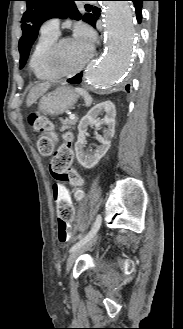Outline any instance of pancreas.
I'll use <instances>...</instances> for the list:
<instances>
[{
  "label": "pancreas",
  "instance_id": "obj_1",
  "mask_svg": "<svg viewBox=\"0 0 183 329\" xmlns=\"http://www.w3.org/2000/svg\"><path fill=\"white\" fill-rule=\"evenodd\" d=\"M77 120H69V119H64L61 120L62 126L60 128V131H65L66 129L71 128V126L75 125Z\"/></svg>",
  "mask_w": 183,
  "mask_h": 329
}]
</instances>
